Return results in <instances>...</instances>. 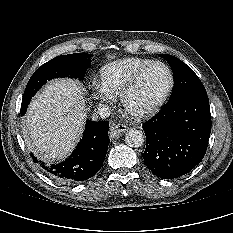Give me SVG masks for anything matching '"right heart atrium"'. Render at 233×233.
I'll return each instance as SVG.
<instances>
[{"label": "right heart atrium", "mask_w": 233, "mask_h": 233, "mask_svg": "<svg viewBox=\"0 0 233 233\" xmlns=\"http://www.w3.org/2000/svg\"><path fill=\"white\" fill-rule=\"evenodd\" d=\"M90 97L100 105H112L115 102V97L103 89L100 84L94 86V90L90 94Z\"/></svg>", "instance_id": "d8ad5b80"}]
</instances>
